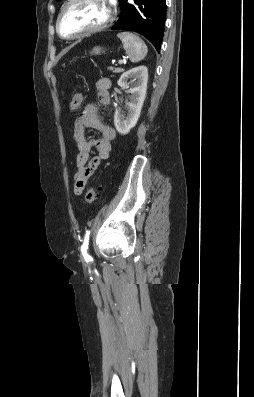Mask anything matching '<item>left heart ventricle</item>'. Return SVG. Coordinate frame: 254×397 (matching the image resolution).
I'll return each mask as SVG.
<instances>
[{
    "instance_id": "left-heart-ventricle-1",
    "label": "left heart ventricle",
    "mask_w": 254,
    "mask_h": 397,
    "mask_svg": "<svg viewBox=\"0 0 254 397\" xmlns=\"http://www.w3.org/2000/svg\"><path fill=\"white\" fill-rule=\"evenodd\" d=\"M108 6L100 0H77L62 16L60 28L64 35H74L104 22Z\"/></svg>"
}]
</instances>
